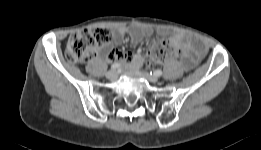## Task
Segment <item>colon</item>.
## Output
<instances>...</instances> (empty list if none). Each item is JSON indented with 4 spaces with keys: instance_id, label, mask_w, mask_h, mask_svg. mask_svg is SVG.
Segmentation results:
<instances>
[{
    "instance_id": "colon-1",
    "label": "colon",
    "mask_w": 261,
    "mask_h": 150,
    "mask_svg": "<svg viewBox=\"0 0 261 150\" xmlns=\"http://www.w3.org/2000/svg\"><path fill=\"white\" fill-rule=\"evenodd\" d=\"M110 40L111 32L108 29L99 27L84 29L69 37L65 56L73 63L86 62L94 58L98 49ZM175 58H182V52L166 39L156 40L148 53V59L155 63Z\"/></svg>"
}]
</instances>
